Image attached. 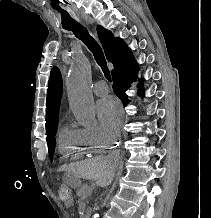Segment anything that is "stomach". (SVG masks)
<instances>
[{"label": "stomach", "mask_w": 211, "mask_h": 218, "mask_svg": "<svg viewBox=\"0 0 211 218\" xmlns=\"http://www.w3.org/2000/svg\"><path fill=\"white\" fill-rule=\"evenodd\" d=\"M66 183L73 188H78L81 186V181L79 177L75 174H67Z\"/></svg>", "instance_id": "0dacf381"}]
</instances>
